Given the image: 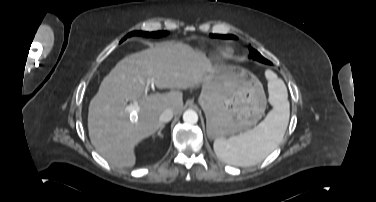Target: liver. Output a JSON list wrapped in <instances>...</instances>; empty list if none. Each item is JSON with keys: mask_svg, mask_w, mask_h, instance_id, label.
Listing matches in <instances>:
<instances>
[{"mask_svg": "<svg viewBox=\"0 0 376 202\" xmlns=\"http://www.w3.org/2000/svg\"><path fill=\"white\" fill-rule=\"evenodd\" d=\"M205 53L183 43L164 42L120 60L103 79L88 110L92 145L111 164L133 167L135 146L154 134L166 109L179 114L182 92L145 95L147 83L159 89L197 88L212 69ZM132 101L135 111L128 110Z\"/></svg>", "mask_w": 376, "mask_h": 202, "instance_id": "6515ba94", "label": "liver"}]
</instances>
